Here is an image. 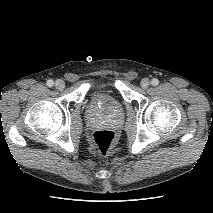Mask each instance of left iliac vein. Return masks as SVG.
<instances>
[{"mask_svg": "<svg viewBox=\"0 0 213 213\" xmlns=\"http://www.w3.org/2000/svg\"><path fill=\"white\" fill-rule=\"evenodd\" d=\"M140 84H141L142 88L146 89L150 85V81H149V79L144 78V79L141 80Z\"/></svg>", "mask_w": 213, "mask_h": 213, "instance_id": "1", "label": "left iliac vein"}]
</instances>
